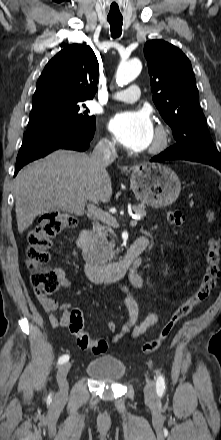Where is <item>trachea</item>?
Listing matches in <instances>:
<instances>
[{"label": "trachea", "mask_w": 221, "mask_h": 440, "mask_svg": "<svg viewBox=\"0 0 221 440\" xmlns=\"http://www.w3.org/2000/svg\"><path fill=\"white\" fill-rule=\"evenodd\" d=\"M110 28H111V36L113 38H118L122 34V17H108L107 18Z\"/></svg>", "instance_id": "obj_1"}]
</instances>
